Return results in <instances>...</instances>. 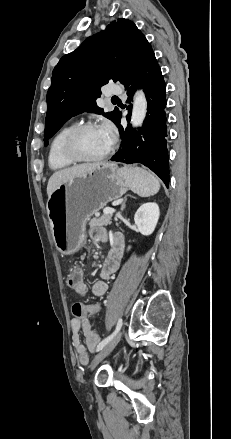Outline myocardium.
Segmentation results:
<instances>
[{
  "label": "myocardium",
  "instance_id": "f54148a6",
  "mask_svg": "<svg viewBox=\"0 0 231 439\" xmlns=\"http://www.w3.org/2000/svg\"><path fill=\"white\" fill-rule=\"evenodd\" d=\"M99 128V126L92 122L81 123L73 126L64 136L62 141V152L64 156L73 163H91L99 162L106 159L114 149V143L110 144L108 149L101 155L96 157H84L80 155L76 149V138L80 133L88 129Z\"/></svg>",
  "mask_w": 231,
  "mask_h": 439
}]
</instances>
